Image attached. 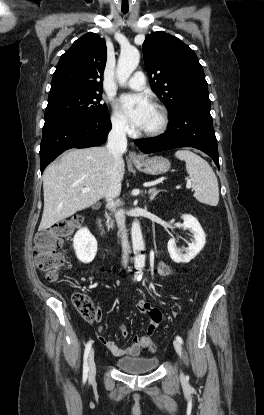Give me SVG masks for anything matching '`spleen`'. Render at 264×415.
Segmentation results:
<instances>
[{
    "instance_id": "3e777b00",
    "label": "spleen",
    "mask_w": 264,
    "mask_h": 415,
    "mask_svg": "<svg viewBox=\"0 0 264 415\" xmlns=\"http://www.w3.org/2000/svg\"><path fill=\"white\" fill-rule=\"evenodd\" d=\"M175 157L186 162L194 197L201 203L217 206L219 202L218 180L207 161L189 150H178L175 152Z\"/></svg>"
}]
</instances>
